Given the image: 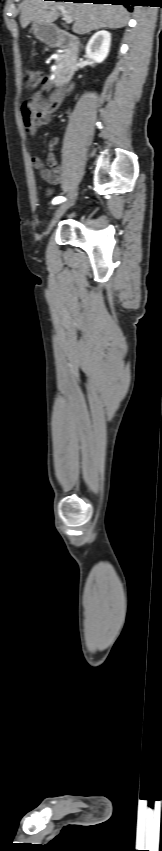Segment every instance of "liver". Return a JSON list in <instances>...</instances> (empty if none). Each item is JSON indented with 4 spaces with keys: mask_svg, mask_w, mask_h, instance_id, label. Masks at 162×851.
I'll return each instance as SVG.
<instances>
[{
    "mask_svg": "<svg viewBox=\"0 0 162 851\" xmlns=\"http://www.w3.org/2000/svg\"><path fill=\"white\" fill-rule=\"evenodd\" d=\"M59 7H64L74 18L72 30L80 35L101 28H122L127 25L129 19L128 12L122 5L24 0L20 15L22 28H26L31 22L51 25L59 17Z\"/></svg>",
    "mask_w": 162,
    "mask_h": 851,
    "instance_id": "obj_1",
    "label": "liver"
}]
</instances>
